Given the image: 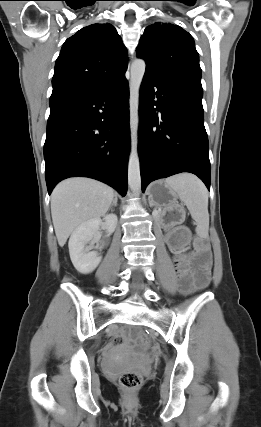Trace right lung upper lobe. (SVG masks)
<instances>
[{"label": "right lung upper lobe", "instance_id": "right-lung-upper-lobe-1", "mask_svg": "<svg viewBox=\"0 0 261 427\" xmlns=\"http://www.w3.org/2000/svg\"><path fill=\"white\" fill-rule=\"evenodd\" d=\"M127 65L126 48L111 24L80 29L64 42L56 60L50 107L117 83Z\"/></svg>", "mask_w": 261, "mask_h": 427}]
</instances>
